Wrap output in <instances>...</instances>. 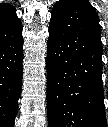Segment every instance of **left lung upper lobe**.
I'll return each instance as SVG.
<instances>
[{
    "mask_svg": "<svg viewBox=\"0 0 108 127\" xmlns=\"http://www.w3.org/2000/svg\"><path fill=\"white\" fill-rule=\"evenodd\" d=\"M71 71H72V70L70 69V71H67V73H68V72H70V73H71ZM73 72H74V70H73Z\"/></svg>",
    "mask_w": 108,
    "mask_h": 127,
    "instance_id": "left-lung-upper-lobe-1",
    "label": "left lung upper lobe"
}]
</instances>
